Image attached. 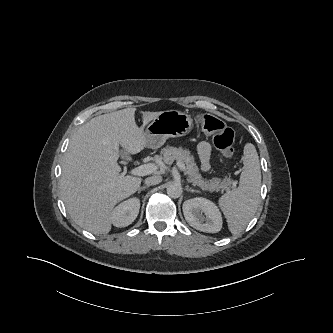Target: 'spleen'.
<instances>
[{
	"instance_id": "spleen-1",
	"label": "spleen",
	"mask_w": 333,
	"mask_h": 333,
	"mask_svg": "<svg viewBox=\"0 0 333 333\" xmlns=\"http://www.w3.org/2000/svg\"><path fill=\"white\" fill-rule=\"evenodd\" d=\"M243 155L244 167L239 186L222 195L218 201L232 234L246 228L260 203L261 170L255 146L247 143Z\"/></svg>"
}]
</instances>
